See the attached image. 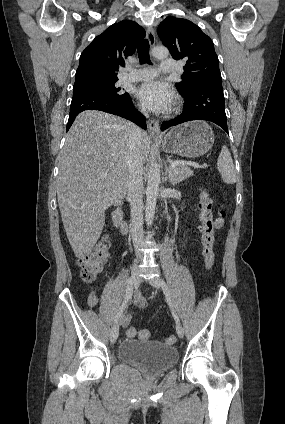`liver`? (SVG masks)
<instances>
[{"label":"liver","mask_w":285,"mask_h":424,"mask_svg":"<svg viewBox=\"0 0 285 424\" xmlns=\"http://www.w3.org/2000/svg\"><path fill=\"white\" fill-rule=\"evenodd\" d=\"M132 126L115 115L88 110L76 117L66 135L59 155L57 197L69 243L79 258L99 239L106 209L127 194ZM150 144L151 139L144 132L143 162Z\"/></svg>","instance_id":"obj_1"}]
</instances>
